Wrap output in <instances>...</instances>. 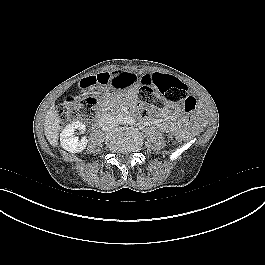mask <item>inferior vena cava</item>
<instances>
[{
	"label": "inferior vena cava",
	"instance_id": "602c4592",
	"mask_svg": "<svg viewBox=\"0 0 265 265\" xmlns=\"http://www.w3.org/2000/svg\"><path fill=\"white\" fill-rule=\"evenodd\" d=\"M117 122L115 118L110 114H104L99 120V127L103 131H109L116 126Z\"/></svg>",
	"mask_w": 265,
	"mask_h": 265
}]
</instances>
